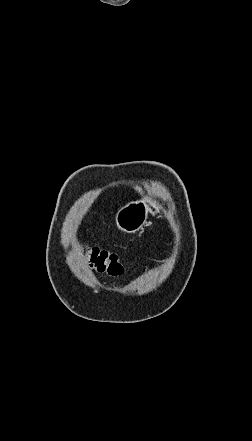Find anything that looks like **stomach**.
<instances>
[{
  "mask_svg": "<svg viewBox=\"0 0 252 441\" xmlns=\"http://www.w3.org/2000/svg\"><path fill=\"white\" fill-rule=\"evenodd\" d=\"M161 208L150 197L129 202L117 212L115 217L116 225L126 233H136L145 225L148 213L156 215L160 213Z\"/></svg>",
  "mask_w": 252,
  "mask_h": 441,
  "instance_id": "obj_1",
  "label": "stomach"
}]
</instances>
